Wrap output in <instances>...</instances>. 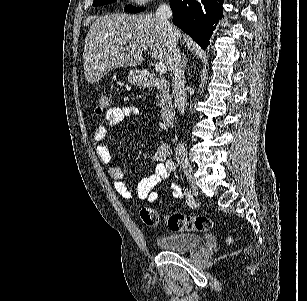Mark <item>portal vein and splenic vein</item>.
Listing matches in <instances>:
<instances>
[{"label":"portal vein and splenic vein","instance_id":"obj_1","mask_svg":"<svg viewBox=\"0 0 307 301\" xmlns=\"http://www.w3.org/2000/svg\"><path fill=\"white\" fill-rule=\"evenodd\" d=\"M155 70H157V72H159V74H165V72H167V66H165V64H163V62H156Z\"/></svg>","mask_w":307,"mask_h":301}]
</instances>
